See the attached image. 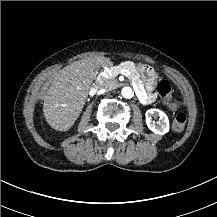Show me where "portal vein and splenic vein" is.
Segmentation results:
<instances>
[{
	"instance_id": "obj_1",
	"label": "portal vein and splenic vein",
	"mask_w": 217,
	"mask_h": 217,
	"mask_svg": "<svg viewBox=\"0 0 217 217\" xmlns=\"http://www.w3.org/2000/svg\"><path fill=\"white\" fill-rule=\"evenodd\" d=\"M125 72H126V74H130L128 70L125 71ZM132 84H133V87H134L135 90L138 89V88L136 87V84H135L134 82H133Z\"/></svg>"
}]
</instances>
